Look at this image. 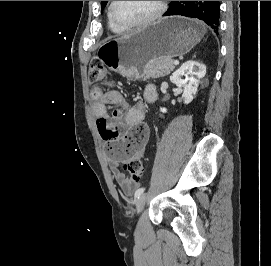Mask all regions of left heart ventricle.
<instances>
[{
    "mask_svg": "<svg viewBox=\"0 0 271 266\" xmlns=\"http://www.w3.org/2000/svg\"><path fill=\"white\" fill-rule=\"evenodd\" d=\"M157 8V1H117L115 14L121 21L135 23L149 17Z\"/></svg>",
    "mask_w": 271,
    "mask_h": 266,
    "instance_id": "1",
    "label": "left heart ventricle"
}]
</instances>
